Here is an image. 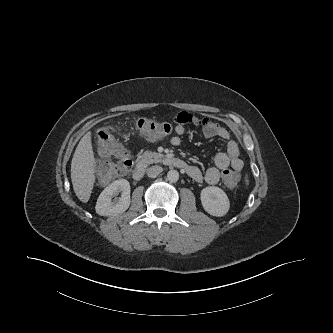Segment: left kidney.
<instances>
[{
  "mask_svg": "<svg viewBox=\"0 0 333 333\" xmlns=\"http://www.w3.org/2000/svg\"><path fill=\"white\" fill-rule=\"evenodd\" d=\"M200 198L204 210L210 215L224 216L230 208L228 196L219 187L208 186L202 189Z\"/></svg>",
  "mask_w": 333,
  "mask_h": 333,
  "instance_id": "1",
  "label": "left kidney"
}]
</instances>
